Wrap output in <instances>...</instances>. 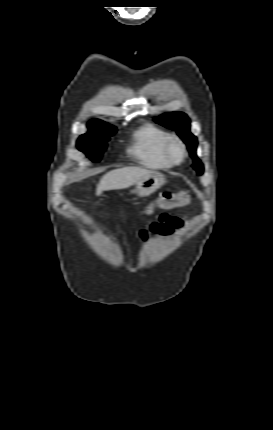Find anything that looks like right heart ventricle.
Segmentation results:
<instances>
[{"mask_svg":"<svg viewBox=\"0 0 273 430\" xmlns=\"http://www.w3.org/2000/svg\"><path fill=\"white\" fill-rule=\"evenodd\" d=\"M170 136L153 124H145L134 132L130 152L145 167L169 169L173 165L165 158L163 148Z\"/></svg>","mask_w":273,"mask_h":430,"instance_id":"right-heart-ventricle-1","label":"right heart ventricle"}]
</instances>
